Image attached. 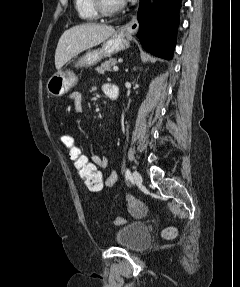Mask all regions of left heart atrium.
Here are the masks:
<instances>
[{
    "label": "left heart atrium",
    "instance_id": "obj_1",
    "mask_svg": "<svg viewBox=\"0 0 240 287\" xmlns=\"http://www.w3.org/2000/svg\"><path fill=\"white\" fill-rule=\"evenodd\" d=\"M121 2H123V1H128V0H120Z\"/></svg>",
    "mask_w": 240,
    "mask_h": 287
}]
</instances>
